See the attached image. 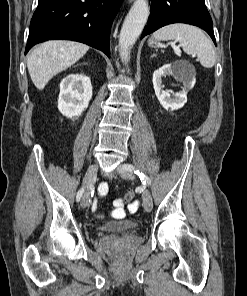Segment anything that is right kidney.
I'll list each match as a JSON object with an SVG mask.
<instances>
[{
    "instance_id": "1",
    "label": "right kidney",
    "mask_w": 247,
    "mask_h": 296,
    "mask_svg": "<svg viewBox=\"0 0 247 296\" xmlns=\"http://www.w3.org/2000/svg\"><path fill=\"white\" fill-rule=\"evenodd\" d=\"M92 98L90 78L83 74H69L60 83L58 109L66 117H79Z\"/></svg>"
}]
</instances>
